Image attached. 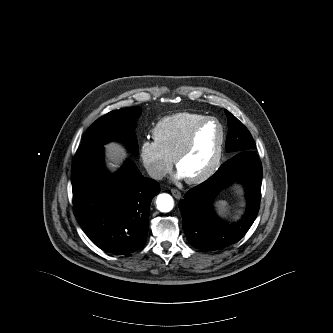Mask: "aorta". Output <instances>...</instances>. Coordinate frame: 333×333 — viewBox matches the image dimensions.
Wrapping results in <instances>:
<instances>
[{"instance_id":"762f6f07","label":"aorta","mask_w":333,"mask_h":333,"mask_svg":"<svg viewBox=\"0 0 333 333\" xmlns=\"http://www.w3.org/2000/svg\"><path fill=\"white\" fill-rule=\"evenodd\" d=\"M157 209L161 212H170L174 207V200L171 195L162 193L157 196Z\"/></svg>"}]
</instances>
